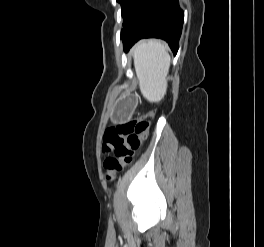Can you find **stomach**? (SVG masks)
Segmentation results:
<instances>
[{"mask_svg":"<svg viewBox=\"0 0 264 247\" xmlns=\"http://www.w3.org/2000/svg\"><path fill=\"white\" fill-rule=\"evenodd\" d=\"M133 108H135V94H122V103L115 108L113 119L122 121L134 118Z\"/></svg>","mask_w":264,"mask_h":247,"instance_id":"0dacf381","label":"stomach"}]
</instances>
